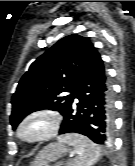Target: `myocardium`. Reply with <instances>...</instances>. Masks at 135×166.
<instances>
[{
    "label": "myocardium",
    "mask_w": 135,
    "mask_h": 166,
    "mask_svg": "<svg viewBox=\"0 0 135 166\" xmlns=\"http://www.w3.org/2000/svg\"><path fill=\"white\" fill-rule=\"evenodd\" d=\"M44 119L47 121V127L46 129L36 135V136H26L24 134V130L26 126L35 119ZM61 124V116L60 114L49 108H39L35 109L28 114H26L21 121L18 123L16 128V137L19 141L27 144H35L47 141L51 138H53L59 131Z\"/></svg>",
    "instance_id": "f54148a6"
}]
</instances>
